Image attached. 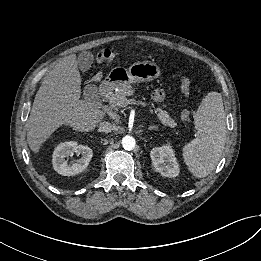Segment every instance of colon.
Here are the masks:
<instances>
[{
	"instance_id": "1",
	"label": "colon",
	"mask_w": 261,
	"mask_h": 261,
	"mask_svg": "<svg viewBox=\"0 0 261 261\" xmlns=\"http://www.w3.org/2000/svg\"><path fill=\"white\" fill-rule=\"evenodd\" d=\"M98 58L101 61L107 62L111 59V52L108 49H103L101 53L98 55ZM181 88L184 94H187L189 91V84L186 82H181Z\"/></svg>"
}]
</instances>
